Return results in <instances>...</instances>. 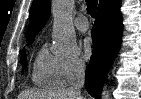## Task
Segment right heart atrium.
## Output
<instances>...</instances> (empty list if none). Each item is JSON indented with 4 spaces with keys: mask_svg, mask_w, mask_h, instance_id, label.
<instances>
[{
    "mask_svg": "<svg viewBox=\"0 0 141 99\" xmlns=\"http://www.w3.org/2000/svg\"><path fill=\"white\" fill-rule=\"evenodd\" d=\"M85 60L81 56L62 59V76L64 82H72L83 74Z\"/></svg>",
    "mask_w": 141,
    "mask_h": 99,
    "instance_id": "obj_1",
    "label": "right heart atrium"
}]
</instances>
